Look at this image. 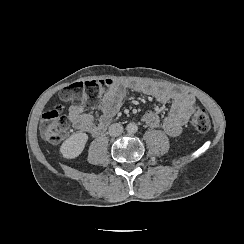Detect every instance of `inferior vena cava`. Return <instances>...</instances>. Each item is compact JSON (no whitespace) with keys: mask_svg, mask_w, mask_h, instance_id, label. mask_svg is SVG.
I'll use <instances>...</instances> for the list:
<instances>
[{"mask_svg":"<svg viewBox=\"0 0 244 244\" xmlns=\"http://www.w3.org/2000/svg\"><path fill=\"white\" fill-rule=\"evenodd\" d=\"M123 132V126L119 123H114L109 127V134L112 137H117Z\"/></svg>","mask_w":244,"mask_h":244,"instance_id":"obj_1","label":"inferior vena cava"}]
</instances>
